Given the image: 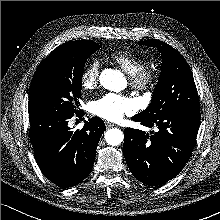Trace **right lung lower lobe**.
<instances>
[{
	"label": "right lung lower lobe",
	"mask_w": 220,
	"mask_h": 220,
	"mask_svg": "<svg viewBox=\"0 0 220 220\" xmlns=\"http://www.w3.org/2000/svg\"><path fill=\"white\" fill-rule=\"evenodd\" d=\"M83 112H76L79 116ZM74 114L43 112L29 115V137L40 170L54 184L69 188L90 173L98 142L106 127L102 119L85 121L82 130L71 131Z\"/></svg>",
	"instance_id": "98d812e1"
}]
</instances>
